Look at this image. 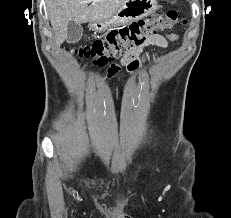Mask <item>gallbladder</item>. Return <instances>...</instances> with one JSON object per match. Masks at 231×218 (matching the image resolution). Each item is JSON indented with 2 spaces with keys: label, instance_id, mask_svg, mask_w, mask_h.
Returning <instances> with one entry per match:
<instances>
[{
  "label": "gallbladder",
  "instance_id": "1",
  "mask_svg": "<svg viewBox=\"0 0 231 218\" xmlns=\"http://www.w3.org/2000/svg\"><path fill=\"white\" fill-rule=\"evenodd\" d=\"M83 35V28L80 24L70 21L67 26V42L77 43Z\"/></svg>",
  "mask_w": 231,
  "mask_h": 218
}]
</instances>
